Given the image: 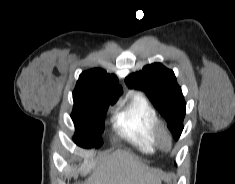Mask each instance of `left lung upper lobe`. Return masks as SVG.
Masks as SVG:
<instances>
[{
    "label": "left lung upper lobe",
    "mask_w": 235,
    "mask_h": 184,
    "mask_svg": "<svg viewBox=\"0 0 235 184\" xmlns=\"http://www.w3.org/2000/svg\"><path fill=\"white\" fill-rule=\"evenodd\" d=\"M129 88L143 90L155 108L165 117L177 140L183 130L186 103L174 72L161 63L146 65L125 79Z\"/></svg>",
    "instance_id": "left-lung-upper-lobe-1"
}]
</instances>
